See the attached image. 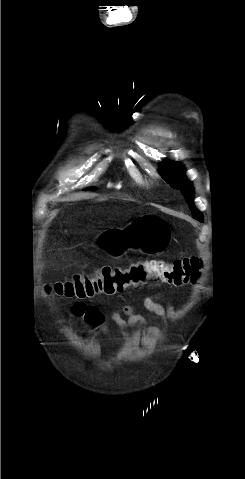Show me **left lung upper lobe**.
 <instances>
[{
    "instance_id": "obj_1",
    "label": "left lung upper lobe",
    "mask_w": 245,
    "mask_h": 479,
    "mask_svg": "<svg viewBox=\"0 0 245 479\" xmlns=\"http://www.w3.org/2000/svg\"><path fill=\"white\" fill-rule=\"evenodd\" d=\"M184 168L177 162L164 161L160 167L162 177L176 189H180L184 195L190 210H192L193 218L203 222L202 214L196 210L193 205V188L191 184L183 178Z\"/></svg>"
}]
</instances>
